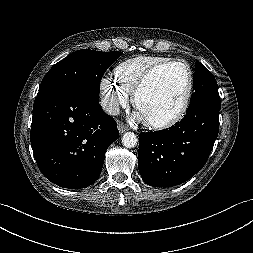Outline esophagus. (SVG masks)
<instances>
[{
	"mask_svg": "<svg viewBox=\"0 0 253 253\" xmlns=\"http://www.w3.org/2000/svg\"><path fill=\"white\" fill-rule=\"evenodd\" d=\"M117 126H118V130L120 133H124V132L128 131V127L120 121L117 123Z\"/></svg>",
	"mask_w": 253,
	"mask_h": 253,
	"instance_id": "obj_1",
	"label": "esophagus"
}]
</instances>
